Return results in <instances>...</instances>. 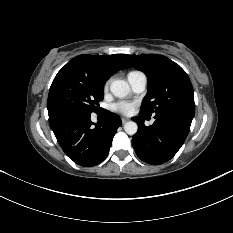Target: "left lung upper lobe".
Here are the masks:
<instances>
[{
  "label": "left lung upper lobe",
  "mask_w": 233,
  "mask_h": 233,
  "mask_svg": "<svg viewBox=\"0 0 233 233\" xmlns=\"http://www.w3.org/2000/svg\"><path fill=\"white\" fill-rule=\"evenodd\" d=\"M133 68L148 78V94L141 112L173 113L193 119L195 114L193 87L186 72L163 55H123Z\"/></svg>",
  "instance_id": "1"
}]
</instances>
